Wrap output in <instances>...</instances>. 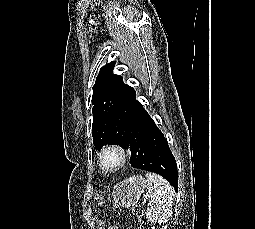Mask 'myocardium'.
Masks as SVG:
<instances>
[{
    "label": "myocardium",
    "instance_id": "myocardium-1",
    "mask_svg": "<svg viewBox=\"0 0 255 229\" xmlns=\"http://www.w3.org/2000/svg\"><path fill=\"white\" fill-rule=\"evenodd\" d=\"M108 153H115L118 156V160L114 164H107L105 161V156ZM98 160L102 169L105 170H117L124 166L128 160V152L127 150L119 144H107L101 148L98 154Z\"/></svg>",
    "mask_w": 255,
    "mask_h": 229
}]
</instances>
